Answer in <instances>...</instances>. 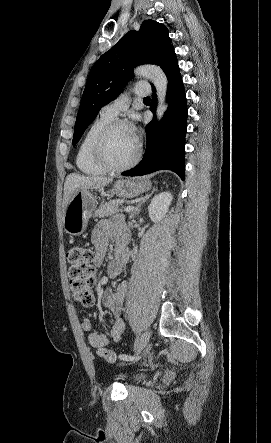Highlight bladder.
Wrapping results in <instances>:
<instances>
[{"instance_id": "31cf9c89", "label": "bladder", "mask_w": 271, "mask_h": 443, "mask_svg": "<svg viewBox=\"0 0 271 443\" xmlns=\"http://www.w3.org/2000/svg\"><path fill=\"white\" fill-rule=\"evenodd\" d=\"M145 376L146 375L144 373H137V374L132 375L129 378V381L131 383H137V382H140L141 380H143L145 378Z\"/></svg>"}]
</instances>
